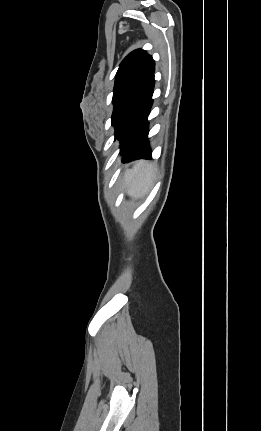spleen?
<instances>
[{
    "instance_id": "3e777b00",
    "label": "spleen",
    "mask_w": 261,
    "mask_h": 431,
    "mask_svg": "<svg viewBox=\"0 0 261 431\" xmlns=\"http://www.w3.org/2000/svg\"><path fill=\"white\" fill-rule=\"evenodd\" d=\"M156 173V167L140 162L126 173L124 178V187L127 193L132 197H141L145 195L151 185Z\"/></svg>"
}]
</instances>
